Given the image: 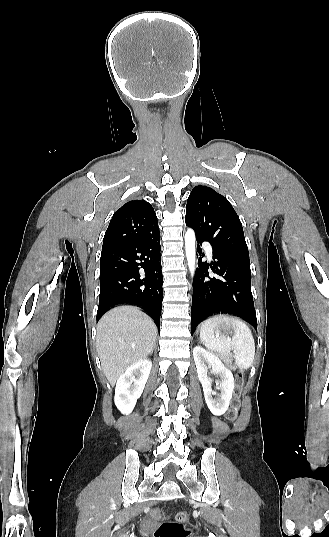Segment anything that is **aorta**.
<instances>
[{
	"instance_id": "obj_1",
	"label": "aorta",
	"mask_w": 329,
	"mask_h": 537,
	"mask_svg": "<svg viewBox=\"0 0 329 537\" xmlns=\"http://www.w3.org/2000/svg\"><path fill=\"white\" fill-rule=\"evenodd\" d=\"M185 253L188 263V268L191 276H194L196 270V238L192 229H188L185 233Z\"/></svg>"
}]
</instances>
